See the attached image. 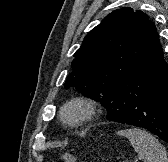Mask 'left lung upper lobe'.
<instances>
[{
  "label": "left lung upper lobe",
  "mask_w": 168,
  "mask_h": 162,
  "mask_svg": "<svg viewBox=\"0 0 168 162\" xmlns=\"http://www.w3.org/2000/svg\"><path fill=\"white\" fill-rule=\"evenodd\" d=\"M158 42L155 25L142 11L117 9L84 38L74 54L65 88L75 87L105 107L115 87Z\"/></svg>",
  "instance_id": "5c2ea615"
}]
</instances>
